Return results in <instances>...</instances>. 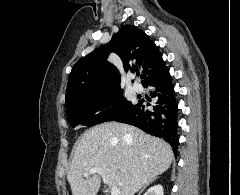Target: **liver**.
I'll return each instance as SVG.
<instances>
[{"label":"liver","mask_w":240,"mask_h":195,"mask_svg":"<svg viewBox=\"0 0 240 195\" xmlns=\"http://www.w3.org/2000/svg\"><path fill=\"white\" fill-rule=\"evenodd\" d=\"M172 159V147L164 139L134 125L107 121L82 133L67 179L72 195H96L103 175L109 187H119L121 195H134L144 183L166 171ZM91 167H101L103 175L90 173L84 179Z\"/></svg>","instance_id":"6515ba94"}]
</instances>
